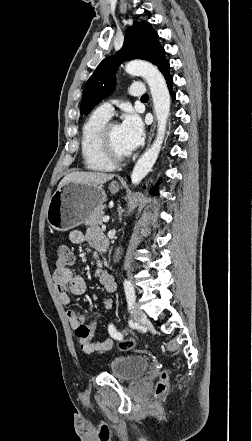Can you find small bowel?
I'll use <instances>...</instances> for the list:
<instances>
[{
	"label": "small bowel",
	"mask_w": 252,
	"mask_h": 441,
	"mask_svg": "<svg viewBox=\"0 0 252 441\" xmlns=\"http://www.w3.org/2000/svg\"><path fill=\"white\" fill-rule=\"evenodd\" d=\"M69 239L73 244L77 245L87 243L96 251L99 250V246L102 243H107L106 238L98 228H90L86 231H72L69 234ZM95 276L106 292L111 294L116 290L114 277L107 270L102 269L99 263L95 270ZM53 280L60 302L64 305L70 303L69 291L72 294L81 295L86 290V282L84 278L80 275H76L68 267H57L53 274ZM111 307L112 299H105L102 304V309L107 311L110 310ZM87 313V311H84L80 314L73 309H69L66 312L68 321L75 331L84 326L83 324ZM112 346V339H107L103 342L89 341L85 346V352H107L111 350Z\"/></svg>",
	"instance_id": "obj_1"
}]
</instances>
